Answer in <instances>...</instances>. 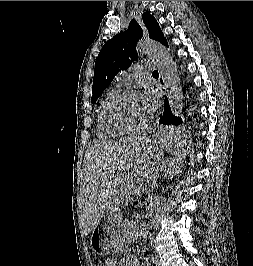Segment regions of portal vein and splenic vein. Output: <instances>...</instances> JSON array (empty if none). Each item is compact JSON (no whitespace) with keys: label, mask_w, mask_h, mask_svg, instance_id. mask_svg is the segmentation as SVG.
Returning a JSON list of instances; mask_svg holds the SVG:
<instances>
[{"label":"portal vein and splenic vein","mask_w":253,"mask_h":266,"mask_svg":"<svg viewBox=\"0 0 253 266\" xmlns=\"http://www.w3.org/2000/svg\"><path fill=\"white\" fill-rule=\"evenodd\" d=\"M139 174H142L143 175V172H139ZM137 193L140 194V191H138Z\"/></svg>","instance_id":"portal-vein-and-splenic-vein-1"}]
</instances>
